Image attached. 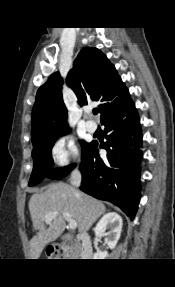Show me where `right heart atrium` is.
Masks as SVG:
<instances>
[{"label":"right heart atrium","instance_id":"d8ad5b80","mask_svg":"<svg viewBox=\"0 0 175 287\" xmlns=\"http://www.w3.org/2000/svg\"><path fill=\"white\" fill-rule=\"evenodd\" d=\"M50 158L57 167H65L78 160L79 152L74 139L67 135L58 137L50 147Z\"/></svg>","mask_w":175,"mask_h":287}]
</instances>
